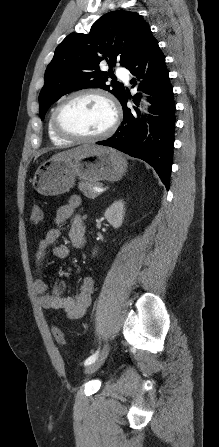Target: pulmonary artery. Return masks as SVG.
Returning <instances> with one entry per match:
<instances>
[{"instance_id":"pulmonary-artery-1","label":"pulmonary artery","mask_w":219,"mask_h":447,"mask_svg":"<svg viewBox=\"0 0 219 447\" xmlns=\"http://www.w3.org/2000/svg\"><path fill=\"white\" fill-rule=\"evenodd\" d=\"M116 74L120 77H122L125 81L128 80V72L123 67H117L116 68Z\"/></svg>"}]
</instances>
